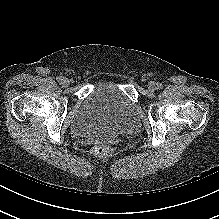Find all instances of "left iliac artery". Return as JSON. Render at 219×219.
Here are the masks:
<instances>
[{"mask_svg":"<svg viewBox=\"0 0 219 219\" xmlns=\"http://www.w3.org/2000/svg\"><path fill=\"white\" fill-rule=\"evenodd\" d=\"M162 88V83H157V89H161Z\"/></svg>","mask_w":219,"mask_h":219,"instance_id":"44dca946","label":"left iliac artery"}]
</instances>
